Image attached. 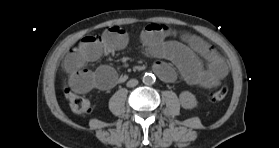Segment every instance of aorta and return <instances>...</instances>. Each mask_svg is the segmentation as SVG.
Masks as SVG:
<instances>
[{
	"mask_svg": "<svg viewBox=\"0 0 279 148\" xmlns=\"http://www.w3.org/2000/svg\"><path fill=\"white\" fill-rule=\"evenodd\" d=\"M142 80L144 84L151 85L155 82V76L152 73H145Z\"/></svg>",
	"mask_w": 279,
	"mask_h": 148,
	"instance_id": "obj_1",
	"label": "aorta"
}]
</instances>
